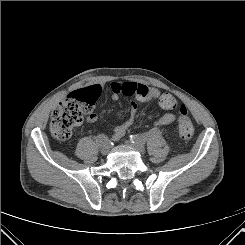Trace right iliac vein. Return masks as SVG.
Here are the masks:
<instances>
[{
  "mask_svg": "<svg viewBox=\"0 0 245 245\" xmlns=\"http://www.w3.org/2000/svg\"><path fill=\"white\" fill-rule=\"evenodd\" d=\"M100 151H101V153H102L103 155H106V154L108 153L109 149H108L107 146H103V147L101 148Z\"/></svg>",
  "mask_w": 245,
  "mask_h": 245,
  "instance_id": "obj_1",
  "label": "right iliac vein"
}]
</instances>
